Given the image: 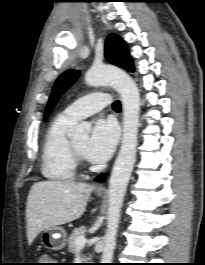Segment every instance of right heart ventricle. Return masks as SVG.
<instances>
[{
	"label": "right heart ventricle",
	"instance_id": "obj_1",
	"mask_svg": "<svg viewBox=\"0 0 205 265\" xmlns=\"http://www.w3.org/2000/svg\"><path fill=\"white\" fill-rule=\"evenodd\" d=\"M75 124L61 114L48 128L43 146L41 172L52 181H69L75 177L76 162L71 150L67 131Z\"/></svg>",
	"mask_w": 205,
	"mask_h": 265
}]
</instances>
